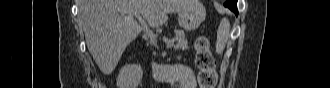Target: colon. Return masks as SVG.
<instances>
[{"instance_id":"obj_1","label":"colon","mask_w":330,"mask_h":88,"mask_svg":"<svg viewBox=\"0 0 330 88\" xmlns=\"http://www.w3.org/2000/svg\"><path fill=\"white\" fill-rule=\"evenodd\" d=\"M193 46L196 52V65L199 69V87L215 88L218 76L216 73V63L211 52L209 39L205 36L197 37Z\"/></svg>"}]
</instances>
